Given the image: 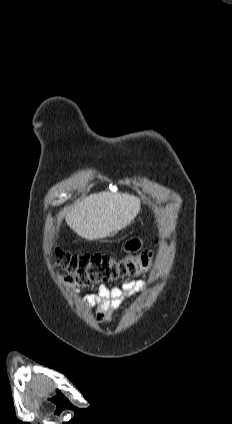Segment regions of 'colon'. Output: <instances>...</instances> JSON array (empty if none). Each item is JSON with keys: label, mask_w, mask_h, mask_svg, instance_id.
<instances>
[{"label": "colon", "mask_w": 232, "mask_h": 424, "mask_svg": "<svg viewBox=\"0 0 232 424\" xmlns=\"http://www.w3.org/2000/svg\"><path fill=\"white\" fill-rule=\"evenodd\" d=\"M55 256L68 284L88 287L148 272L154 264L156 251L146 250L117 258L103 253L75 254L58 249Z\"/></svg>", "instance_id": "obj_1"}]
</instances>
